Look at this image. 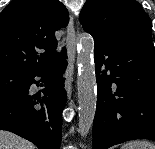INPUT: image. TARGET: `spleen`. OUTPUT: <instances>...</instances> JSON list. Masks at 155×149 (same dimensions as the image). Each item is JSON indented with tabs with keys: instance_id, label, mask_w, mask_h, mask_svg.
<instances>
[{
	"instance_id": "1",
	"label": "spleen",
	"mask_w": 155,
	"mask_h": 149,
	"mask_svg": "<svg viewBox=\"0 0 155 149\" xmlns=\"http://www.w3.org/2000/svg\"><path fill=\"white\" fill-rule=\"evenodd\" d=\"M120 149H155V144L149 141H131L122 145Z\"/></svg>"
}]
</instances>
